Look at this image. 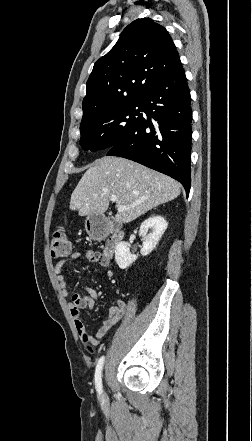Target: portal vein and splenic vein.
Returning <instances> with one entry per match:
<instances>
[{"instance_id": "portal-vein-and-splenic-vein-1", "label": "portal vein and splenic vein", "mask_w": 252, "mask_h": 441, "mask_svg": "<svg viewBox=\"0 0 252 441\" xmlns=\"http://www.w3.org/2000/svg\"><path fill=\"white\" fill-rule=\"evenodd\" d=\"M110 199H111L112 202H115L117 198H116V196L112 195ZM126 209H127V208H126L125 206H119V207H118V211H119V212L124 211V210H126Z\"/></svg>"}]
</instances>
